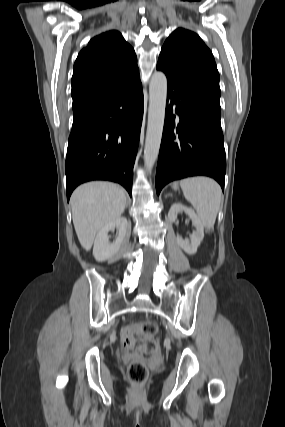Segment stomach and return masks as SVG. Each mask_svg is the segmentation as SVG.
Instances as JSON below:
<instances>
[{"mask_svg": "<svg viewBox=\"0 0 285 427\" xmlns=\"http://www.w3.org/2000/svg\"><path fill=\"white\" fill-rule=\"evenodd\" d=\"M173 188L177 189L178 188L177 184H173Z\"/></svg>", "mask_w": 285, "mask_h": 427, "instance_id": "stomach-1", "label": "stomach"}]
</instances>
